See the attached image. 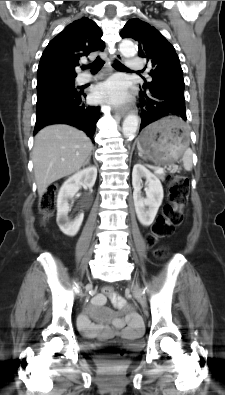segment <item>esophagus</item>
<instances>
[{
    "mask_svg": "<svg viewBox=\"0 0 225 395\" xmlns=\"http://www.w3.org/2000/svg\"><path fill=\"white\" fill-rule=\"evenodd\" d=\"M115 60H122V56L119 53H115L110 57V61L114 62ZM128 113V109L127 108H122L118 111H116V116H121V117H125Z\"/></svg>",
    "mask_w": 225,
    "mask_h": 395,
    "instance_id": "esophagus-1",
    "label": "esophagus"
}]
</instances>
